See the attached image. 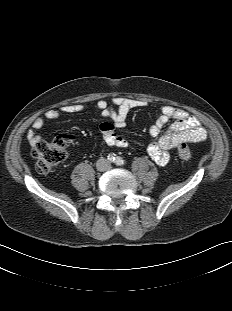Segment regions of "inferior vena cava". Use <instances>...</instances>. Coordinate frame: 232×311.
I'll list each match as a JSON object with an SVG mask.
<instances>
[{
  "label": "inferior vena cava",
  "instance_id": "1",
  "mask_svg": "<svg viewBox=\"0 0 232 311\" xmlns=\"http://www.w3.org/2000/svg\"><path fill=\"white\" fill-rule=\"evenodd\" d=\"M96 168L98 171H106L110 169V162L107 159L100 158L96 162Z\"/></svg>",
  "mask_w": 232,
  "mask_h": 311
}]
</instances>
